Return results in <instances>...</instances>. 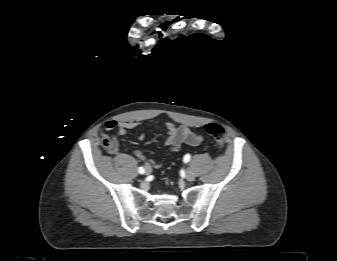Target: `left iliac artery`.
Segmentation results:
<instances>
[{
	"mask_svg": "<svg viewBox=\"0 0 337 261\" xmlns=\"http://www.w3.org/2000/svg\"><path fill=\"white\" fill-rule=\"evenodd\" d=\"M190 159H191L190 154H186V155L184 156V158H183V161H184L185 163H187V162L190 161Z\"/></svg>",
	"mask_w": 337,
	"mask_h": 261,
	"instance_id": "44dca946",
	"label": "left iliac artery"
}]
</instances>
